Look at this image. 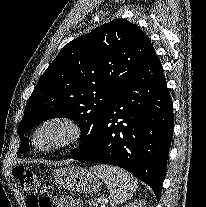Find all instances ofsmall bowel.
<instances>
[{"label":"small bowel","mask_w":206,"mask_h":207,"mask_svg":"<svg viewBox=\"0 0 206 207\" xmlns=\"http://www.w3.org/2000/svg\"><path fill=\"white\" fill-rule=\"evenodd\" d=\"M53 207H82L79 201L66 197H55L52 199Z\"/></svg>","instance_id":"obj_1"}]
</instances>
